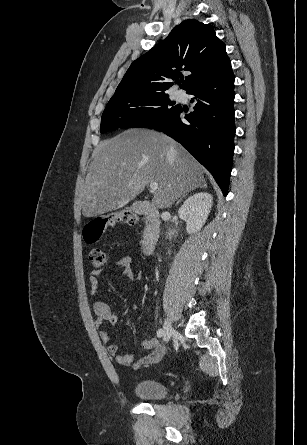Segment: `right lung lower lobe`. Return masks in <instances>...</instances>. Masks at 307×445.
Listing matches in <instances>:
<instances>
[{"label":"right lung lower lobe","instance_id":"obj_1","mask_svg":"<svg viewBox=\"0 0 307 445\" xmlns=\"http://www.w3.org/2000/svg\"><path fill=\"white\" fill-rule=\"evenodd\" d=\"M195 97L194 111L180 118L179 106L166 118L148 126L181 143L228 193L234 154V75L231 62L186 91Z\"/></svg>","mask_w":307,"mask_h":445}]
</instances>
